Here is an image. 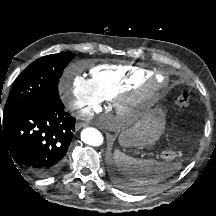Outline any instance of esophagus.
Instances as JSON below:
<instances>
[{"instance_id":"1","label":"esophagus","mask_w":216,"mask_h":216,"mask_svg":"<svg viewBox=\"0 0 216 216\" xmlns=\"http://www.w3.org/2000/svg\"><path fill=\"white\" fill-rule=\"evenodd\" d=\"M86 126H87V123H85V122H77L75 125V129L79 130V129L86 127Z\"/></svg>"}]
</instances>
